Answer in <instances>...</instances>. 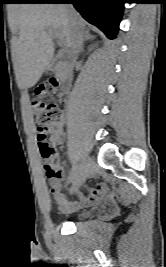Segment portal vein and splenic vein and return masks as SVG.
Returning <instances> with one entry per match:
<instances>
[{
  "mask_svg": "<svg viewBox=\"0 0 166 267\" xmlns=\"http://www.w3.org/2000/svg\"><path fill=\"white\" fill-rule=\"evenodd\" d=\"M47 30H48V32H49L53 37H55V38L58 39V43H59L60 45L63 44L62 37L60 36V33H59L57 30L52 29V28H49V29H47Z\"/></svg>",
  "mask_w": 166,
  "mask_h": 267,
  "instance_id": "portal-vein-and-splenic-vein-1",
  "label": "portal vein and splenic vein"
}]
</instances>
